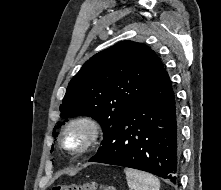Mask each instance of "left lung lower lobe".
<instances>
[{"label":"left lung lower lobe","instance_id":"obj_1","mask_svg":"<svg viewBox=\"0 0 221 190\" xmlns=\"http://www.w3.org/2000/svg\"><path fill=\"white\" fill-rule=\"evenodd\" d=\"M89 161L139 169L176 182L180 161L178 108L166 70L107 133Z\"/></svg>","mask_w":221,"mask_h":190}]
</instances>
